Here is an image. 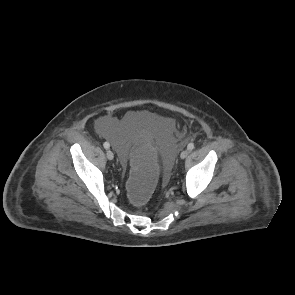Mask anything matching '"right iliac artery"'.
Wrapping results in <instances>:
<instances>
[{
  "instance_id": "1",
  "label": "right iliac artery",
  "mask_w": 295,
  "mask_h": 295,
  "mask_svg": "<svg viewBox=\"0 0 295 295\" xmlns=\"http://www.w3.org/2000/svg\"><path fill=\"white\" fill-rule=\"evenodd\" d=\"M103 146H104L105 149H108V148L110 147V144H109L108 142H105V143L103 144Z\"/></svg>"
}]
</instances>
